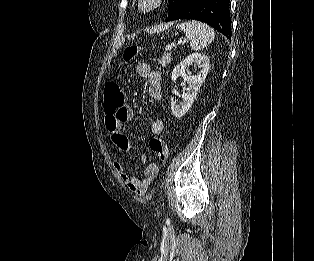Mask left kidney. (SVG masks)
<instances>
[{"mask_svg": "<svg viewBox=\"0 0 314 261\" xmlns=\"http://www.w3.org/2000/svg\"><path fill=\"white\" fill-rule=\"evenodd\" d=\"M193 64L194 67L200 68V71L197 75L186 74L187 67ZM209 69V58L202 53H193L187 56L174 68L171 74L172 81H175L178 77L182 76L184 81L189 84L187 92L182 95V102L180 105H176V101L171 98V109L176 118H181L188 112L197 96L199 88L208 74Z\"/></svg>", "mask_w": 314, "mask_h": 261, "instance_id": "1", "label": "left kidney"}]
</instances>
